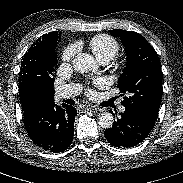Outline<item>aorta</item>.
I'll use <instances>...</instances> for the list:
<instances>
[{"mask_svg":"<svg viewBox=\"0 0 183 183\" xmlns=\"http://www.w3.org/2000/svg\"><path fill=\"white\" fill-rule=\"evenodd\" d=\"M73 68L79 73H87L97 69V65L93 56L87 53H80L72 61ZM114 117L110 112L101 113L98 117V124L100 127L108 129L112 127Z\"/></svg>","mask_w":183,"mask_h":183,"instance_id":"aorta-1","label":"aorta"}]
</instances>
